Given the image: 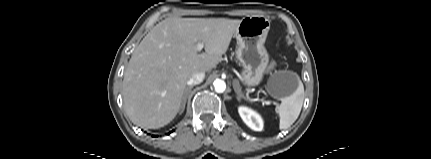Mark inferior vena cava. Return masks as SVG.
<instances>
[{"instance_id": "1", "label": "inferior vena cava", "mask_w": 431, "mask_h": 159, "mask_svg": "<svg viewBox=\"0 0 431 159\" xmlns=\"http://www.w3.org/2000/svg\"><path fill=\"white\" fill-rule=\"evenodd\" d=\"M205 77L204 72H194L191 74L190 78L187 80L189 86L200 84Z\"/></svg>"}]
</instances>
